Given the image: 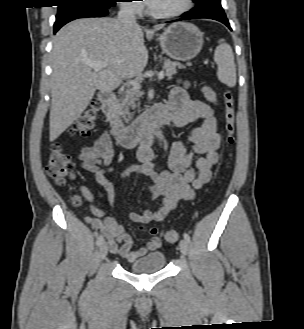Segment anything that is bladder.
Wrapping results in <instances>:
<instances>
[{"mask_svg": "<svg viewBox=\"0 0 304 329\" xmlns=\"http://www.w3.org/2000/svg\"><path fill=\"white\" fill-rule=\"evenodd\" d=\"M165 266V254L162 251H153L130 262L127 271L133 274H149L159 272L163 270Z\"/></svg>", "mask_w": 304, "mask_h": 329, "instance_id": "bladder-1", "label": "bladder"}]
</instances>
